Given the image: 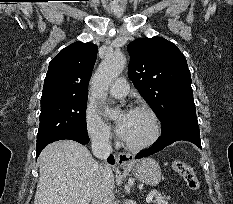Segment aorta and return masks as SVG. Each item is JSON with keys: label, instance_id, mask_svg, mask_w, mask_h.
<instances>
[{"label": "aorta", "instance_id": "aorta-1", "mask_svg": "<svg viewBox=\"0 0 233 204\" xmlns=\"http://www.w3.org/2000/svg\"><path fill=\"white\" fill-rule=\"evenodd\" d=\"M126 65V57L122 53L107 55L97 68L92 78L93 96L100 102H104L106 91L111 83L122 73ZM111 118L118 114L116 110L106 111ZM125 204H127L125 202Z\"/></svg>", "mask_w": 233, "mask_h": 204}]
</instances>
